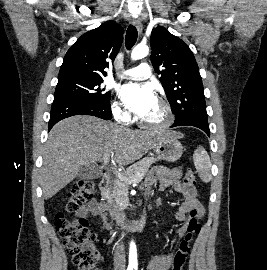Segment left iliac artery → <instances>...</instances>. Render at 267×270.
<instances>
[{"instance_id": "1", "label": "left iliac artery", "mask_w": 267, "mask_h": 270, "mask_svg": "<svg viewBox=\"0 0 267 270\" xmlns=\"http://www.w3.org/2000/svg\"><path fill=\"white\" fill-rule=\"evenodd\" d=\"M134 268H135V270H138V267L137 266H135Z\"/></svg>"}]
</instances>
